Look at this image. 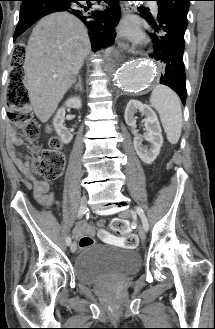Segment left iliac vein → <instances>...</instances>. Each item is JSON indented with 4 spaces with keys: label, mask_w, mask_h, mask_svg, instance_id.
Listing matches in <instances>:
<instances>
[{
    "label": "left iliac vein",
    "mask_w": 215,
    "mask_h": 329,
    "mask_svg": "<svg viewBox=\"0 0 215 329\" xmlns=\"http://www.w3.org/2000/svg\"><path fill=\"white\" fill-rule=\"evenodd\" d=\"M120 216L123 218H130L133 216V212L130 209H125L120 212ZM138 231H139V236L141 240H145L146 234H145V229L142 225H138Z\"/></svg>",
    "instance_id": "1"
}]
</instances>
